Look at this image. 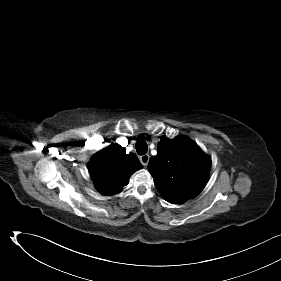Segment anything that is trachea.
<instances>
[{"label":"trachea","mask_w":281,"mask_h":281,"mask_svg":"<svg viewBox=\"0 0 281 281\" xmlns=\"http://www.w3.org/2000/svg\"><path fill=\"white\" fill-rule=\"evenodd\" d=\"M148 150V146H147V143L140 139L137 141L136 143V151L139 155H144Z\"/></svg>","instance_id":"1"}]
</instances>
